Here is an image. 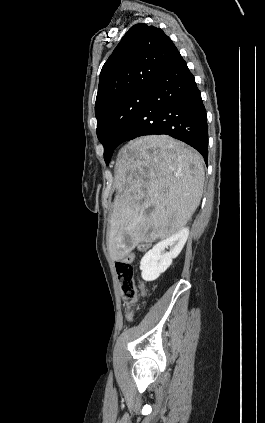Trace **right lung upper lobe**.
Here are the masks:
<instances>
[{
	"label": "right lung upper lobe",
	"mask_w": 265,
	"mask_h": 423,
	"mask_svg": "<svg viewBox=\"0 0 265 423\" xmlns=\"http://www.w3.org/2000/svg\"><path fill=\"white\" fill-rule=\"evenodd\" d=\"M178 53L160 28L145 23L132 26L102 67L96 117L121 98L151 89Z\"/></svg>",
	"instance_id": "obj_1"
}]
</instances>
